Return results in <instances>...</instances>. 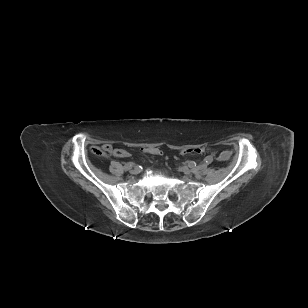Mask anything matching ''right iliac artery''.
Here are the masks:
<instances>
[{
    "label": "right iliac artery",
    "mask_w": 308,
    "mask_h": 308,
    "mask_svg": "<svg viewBox=\"0 0 308 308\" xmlns=\"http://www.w3.org/2000/svg\"><path fill=\"white\" fill-rule=\"evenodd\" d=\"M134 163L133 162H129L127 164L124 165V169L125 170H130L133 167Z\"/></svg>",
    "instance_id": "82829eb1"
}]
</instances>
